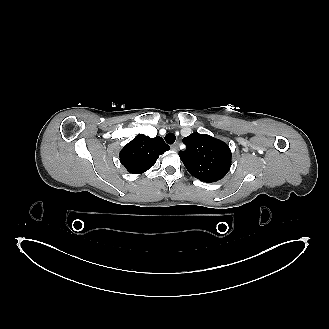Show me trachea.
<instances>
[{"label": "trachea", "instance_id": "1", "mask_svg": "<svg viewBox=\"0 0 329 329\" xmlns=\"http://www.w3.org/2000/svg\"><path fill=\"white\" fill-rule=\"evenodd\" d=\"M175 135L173 133H168L166 134L165 136V141L168 143V144H173L175 142Z\"/></svg>", "mask_w": 329, "mask_h": 329}]
</instances>
